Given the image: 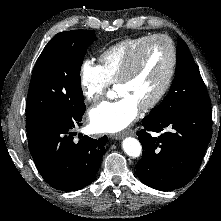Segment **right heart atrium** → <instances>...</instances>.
Wrapping results in <instances>:
<instances>
[{
    "label": "right heart atrium",
    "instance_id": "1",
    "mask_svg": "<svg viewBox=\"0 0 221 221\" xmlns=\"http://www.w3.org/2000/svg\"><path fill=\"white\" fill-rule=\"evenodd\" d=\"M111 82L101 66L86 59L80 68V86L85 99L90 103L101 100L108 91Z\"/></svg>",
    "mask_w": 221,
    "mask_h": 221
}]
</instances>
